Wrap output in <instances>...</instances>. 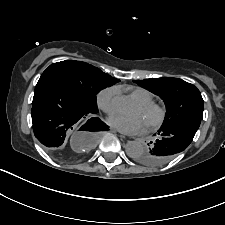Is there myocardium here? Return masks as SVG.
Wrapping results in <instances>:
<instances>
[{
    "label": "myocardium",
    "mask_w": 225,
    "mask_h": 225,
    "mask_svg": "<svg viewBox=\"0 0 225 225\" xmlns=\"http://www.w3.org/2000/svg\"><path fill=\"white\" fill-rule=\"evenodd\" d=\"M139 107L146 115L152 116V119L148 123L150 128L157 129L165 122L167 110L163 105L151 102L147 104H139Z\"/></svg>",
    "instance_id": "obj_1"
}]
</instances>
